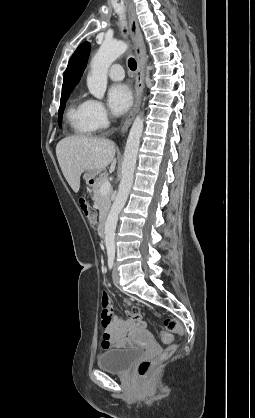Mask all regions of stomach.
Wrapping results in <instances>:
<instances>
[{
	"instance_id": "stomach-1",
	"label": "stomach",
	"mask_w": 255,
	"mask_h": 418,
	"mask_svg": "<svg viewBox=\"0 0 255 418\" xmlns=\"http://www.w3.org/2000/svg\"><path fill=\"white\" fill-rule=\"evenodd\" d=\"M98 172L95 171H87L83 178L85 179L86 183L90 186V187H94V185L97 183L98 181Z\"/></svg>"
}]
</instances>
